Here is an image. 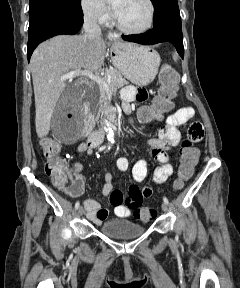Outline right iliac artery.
<instances>
[{"instance_id": "1", "label": "right iliac artery", "mask_w": 240, "mask_h": 288, "mask_svg": "<svg viewBox=\"0 0 240 288\" xmlns=\"http://www.w3.org/2000/svg\"><path fill=\"white\" fill-rule=\"evenodd\" d=\"M110 148H111V146L109 145V147H108L107 150H110ZM79 206H80V203H79V201H77V202L75 203V209H78Z\"/></svg>"}]
</instances>
